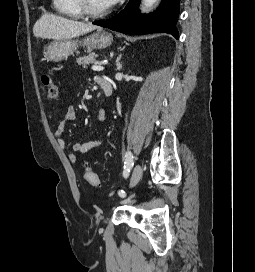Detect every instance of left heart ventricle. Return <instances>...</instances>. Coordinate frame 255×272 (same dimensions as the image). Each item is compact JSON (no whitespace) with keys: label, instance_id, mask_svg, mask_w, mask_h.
Returning a JSON list of instances; mask_svg holds the SVG:
<instances>
[{"label":"left heart ventricle","instance_id":"1","mask_svg":"<svg viewBox=\"0 0 255 272\" xmlns=\"http://www.w3.org/2000/svg\"><path fill=\"white\" fill-rule=\"evenodd\" d=\"M89 5L96 12H102L109 8L105 0H89Z\"/></svg>","mask_w":255,"mask_h":272}]
</instances>
